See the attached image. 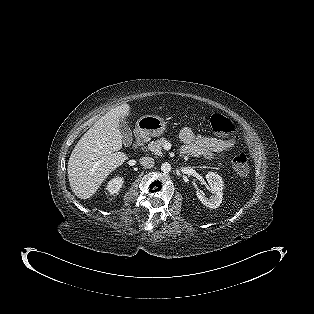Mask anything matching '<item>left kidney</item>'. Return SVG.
<instances>
[{"instance_id": "1", "label": "left kidney", "mask_w": 314, "mask_h": 314, "mask_svg": "<svg viewBox=\"0 0 314 314\" xmlns=\"http://www.w3.org/2000/svg\"><path fill=\"white\" fill-rule=\"evenodd\" d=\"M206 179L210 186L212 195L208 199L203 191L197 190V198L204 204L206 207L211 209H216L220 206L223 197V180L222 177L215 172H208Z\"/></svg>"}]
</instances>
